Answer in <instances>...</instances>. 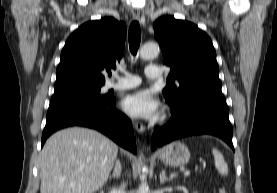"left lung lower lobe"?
Here are the masks:
<instances>
[{"instance_id":"obj_1","label":"left lung lower lobe","mask_w":277,"mask_h":193,"mask_svg":"<svg viewBox=\"0 0 277 193\" xmlns=\"http://www.w3.org/2000/svg\"><path fill=\"white\" fill-rule=\"evenodd\" d=\"M172 109L169 122L154 130L152 149L182 137L211 134L224 140L234 150L229 108L221 90L195 92L180 107Z\"/></svg>"}]
</instances>
